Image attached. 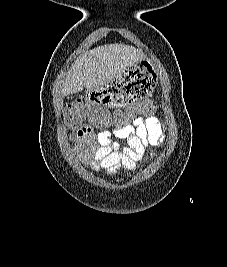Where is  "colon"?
I'll return each instance as SVG.
<instances>
[{
    "instance_id": "5ec220e1",
    "label": "colon",
    "mask_w": 227,
    "mask_h": 267,
    "mask_svg": "<svg viewBox=\"0 0 227 267\" xmlns=\"http://www.w3.org/2000/svg\"><path fill=\"white\" fill-rule=\"evenodd\" d=\"M92 105L84 104L81 100L73 102L67 110L70 124L78 126L83 121L89 120L93 125L99 126V129H105V126H102L106 123L105 119H138V116L160 115L158 105L151 101L143 105H129V110H115V114H108V110H94ZM109 125H122V120H109ZM124 125H131V120H124Z\"/></svg>"
}]
</instances>
